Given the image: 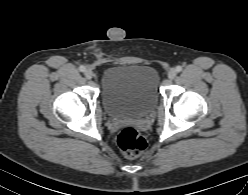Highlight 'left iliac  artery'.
Here are the masks:
<instances>
[{
  "instance_id": "left-iliac-artery-1",
  "label": "left iliac artery",
  "mask_w": 248,
  "mask_h": 195,
  "mask_svg": "<svg viewBox=\"0 0 248 195\" xmlns=\"http://www.w3.org/2000/svg\"><path fill=\"white\" fill-rule=\"evenodd\" d=\"M176 71H177V72L182 71V67H181V66H177V67H176Z\"/></svg>"
}]
</instances>
